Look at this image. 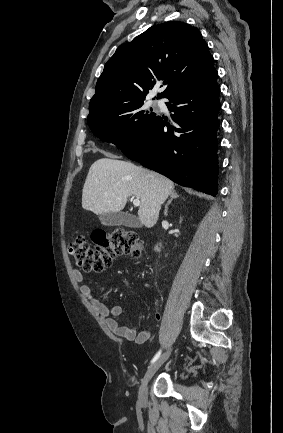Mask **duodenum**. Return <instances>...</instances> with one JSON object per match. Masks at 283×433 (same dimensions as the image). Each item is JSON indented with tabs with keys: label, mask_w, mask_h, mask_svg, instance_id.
<instances>
[{
	"label": "duodenum",
	"mask_w": 283,
	"mask_h": 433,
	"mask_svg": "<svg viewBox=\"0 0 283 433\" xmlns=\"http://www.w3.org/2000/svg\"><path fill=\"white\" fill-rule=\"evenodd\" d=\"M155 249H156V250H158V249H159V247H158V246H156V247H155Z\"/></svg>",
	"instance_id": "duodenum-1"
}]
</instances>
